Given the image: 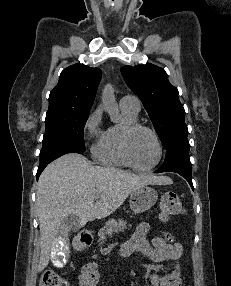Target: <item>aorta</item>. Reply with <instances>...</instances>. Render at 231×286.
I'll use <instances>...</instances> for the list:
<instances>
[{
    "label": "aorta",
    "instance_id": "obj_1",
    "mask_svg": "<svg viewBox=\"0 0 231 286\" xmlns=\"http://www.w3.org/2000/svg\"><path fill=\"white\" fill-rule=\"evenodd\" d=\"M102 102L111 121L117 123L120 119L119 110L114 95V89L110 84H107L103 89Z\"/></svg>",
    "mask_w": 231,
    "mask_h": 286
}]
</instances>
